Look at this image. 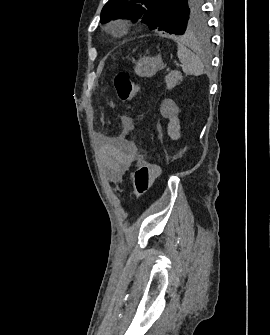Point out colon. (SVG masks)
Segmentation results:
<instances>
[{
	"label": "colon",
	"instance_id": "5ec220e1",
	"mask_svg": "<svg viewBox=\"0 0 270 335\" xmlns=\"http://www.w3.org/2000/svg\"><path fill=\"white\" fill-rule=\"evenodd\" d=\"M114 86L119 99L122 101L132 99L139 90L137 83L128 71H119L116 73ZM157 174V168L143 156L142 162L132 174L134 189L138 196H142L148 192L154 184Z\"/></svg>",
	"mask_w": 270,
	"mask_h": 335
}]
</instances>
